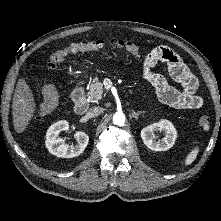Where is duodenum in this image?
I'll list each match as a JSON object with an SVG mask.
<instances>
[{"instance_id": "1", "label": "duodenum", "mask_w": 221, "mask_h": 221, "mask_svg": "<svg viewBox=\"0 0 221 221\" xmlns=\"http://www.w3.org/2000/svg\"><path fill=\"white\" fill-rule=\"evenodd\" d=\"M71 97L74 102V111L79 115L84 114L89 106L84 88L82 86H76L71 92Z\"/></svg>"}]
</instances>
